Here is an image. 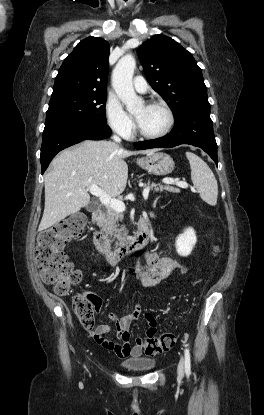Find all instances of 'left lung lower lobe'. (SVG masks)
Wrapping results in <instances>:
<instances>
[{
	"mask_svg": "<svg viewBox=\"0 0 264 415\" xmlns=\"http://www.w3.org/2000/svg\"><path fill=\"white\" fill-rule=\"evenodd\" d=\"M190 144L202 148L218 165L217 144L213 133L210 109H195L186 112L175 121L172 131L164 137L135 143L138 150L148 148H171Z\"/></svg>",
	"mask_w": 264,
	"mask_h": 415,
	"instance_id": "left-lung-lower-lobe-1",
	"label": "left lung lower lobe"
}]
</instances>
